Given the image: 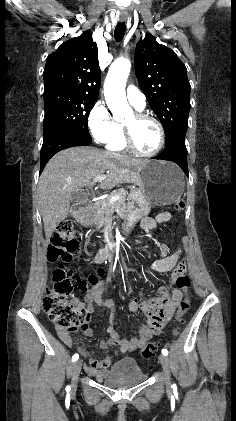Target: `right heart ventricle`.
<instances>
[{"label": "right heart ventricle", "mask_w": 236, "mask_h": 421, "mask_svg": "<svg viewBox=\"0 0 236 421\" xmlns=\"http://www.w3.org/2000/svg\"><path fill=\"white\" fill-rule=\"evenodd\" d=\"M122 123L117 122V128L112 137L106 142V148L113 152H125L128 150L123 138Z\"/></svg>", "instance_id": "1"}]
</instances>
